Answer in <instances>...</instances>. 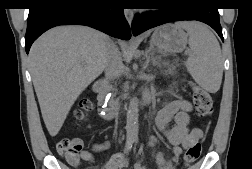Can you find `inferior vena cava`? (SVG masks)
I'll list each match as a JSON object with an SVG mask.
<instances>
[{
  "label": "inferior vena cava",
  "instance_id": "inferior-vena-cava-1",
  "mask_svg": "<svg viewBox=\"0 0 252 169\" xmlns=\"http://www.w3.org/2000/svg\"><path fill=\"white\" fill-rule=\"evenodd\" d=\"M123 63L118 47L110 42L106 49L105 77L108 82L121 76Z\"/></svg>",
  "mask_w": 252,
  "mask_h": 169
}]
</instances>
